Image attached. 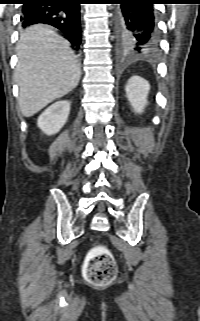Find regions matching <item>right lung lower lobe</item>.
<instances>
[{
    "mask_svg": "<svg viewBox=\"0 0 200 321\" xmlns=\"http://www.w3.org/2000/svg\"><path fill=\"white\" fill-rule=\"evenodd\" d=\"M82 0H24L23 27L43 23L59 29L76 51L81 43L80 6Z\"/></svg>",
    "mask_w": 200,
    "mask_h": 321,
    "instance_id": "98d812e1",
    "label": "right lung lower lobe"
}]
</instances>
